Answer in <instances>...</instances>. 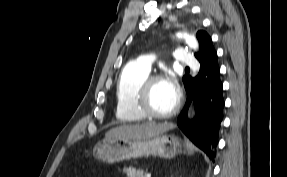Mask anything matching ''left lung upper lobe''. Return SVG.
<instances>
[{"label":"left lung upper lobe","instance_id":"left-lung-upper-lobe-1","mask_svg":"<svg viewBox=\"0 0 287 177\" xmlns=\"http://www.w3.org/2000/svg\"><path fill=\"white\" fill-rule=\"evenodd\" d=\"M196 36L200 44V51L199 53H196L195 56H199L204 52L208 42L211 41V38L205 31H198Z\"/></svg>","mask_w":287,"mask_h":177}]
</instances>
